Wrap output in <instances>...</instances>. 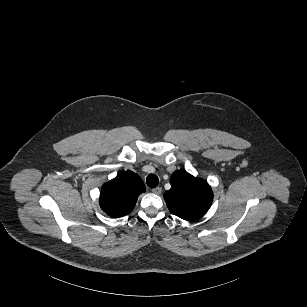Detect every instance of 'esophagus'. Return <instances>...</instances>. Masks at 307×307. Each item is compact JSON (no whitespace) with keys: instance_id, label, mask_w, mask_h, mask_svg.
I'll return each instance as SVG.
<instances>
[{"instance_id":"34e87169","label":"esophagus","mask_w":307,"mask_h":307,"mask_svg":"<svg viewBox=\"0 0 307 307\" xmlns=\"http://www.w3.org/2000/svg\"><path fill=\"white\" fill-rule=\"evenodd\" d=\"M162 188L161 187H156L154 189H152V192L156 195L161 194Z\"/></svg>"}]
</instances>
